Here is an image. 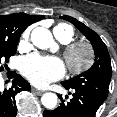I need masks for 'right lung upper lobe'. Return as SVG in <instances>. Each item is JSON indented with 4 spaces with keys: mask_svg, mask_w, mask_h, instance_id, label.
Returning <instances> with one entry per match:
<instances>
[{
    "mask_svg": "<svg viewBox=\"0 0 117 117\" xmlns=\"http://www.w3.org/2000/svg\"><path fill=\"white\" fill-rule=\"evenodd\" d=\"M43 15H28L16 13L0 16V34H22V32L32 23L43 19Z\"/></svg>",
    "mask_w": 117,
    "mask_h": 117,
    "instance_id": "obj_1",
    "label": "right lung upper lobe"
}]
</instances>
